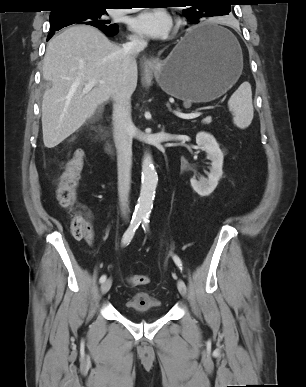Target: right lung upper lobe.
I'll return each instance as SVG.
<instances>
[{
  "label": "right lung upper lobe",
  "instance_id": "1",
  "mask_svg": "<svg viewBox=\"0 0 306 387\" xmlns=\"http://www.w3.org/2000/svg\"><path fill=\"white\" fill-rule=\"evenodd\" d=\"M57 9L53 12H59L61 8L73 7V6H99L105 7L110 4V0H55Z\"/></svg>",
  "mask_w": 306,
  "mask_h": 387
}]
</instances>
